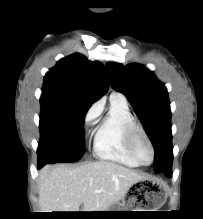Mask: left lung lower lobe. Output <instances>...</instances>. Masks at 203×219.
I'll list each match as a JSON object with an SVG mask.
<instances>
[{
	"instance_id": "obj_1",
	"label": "left lung lower lobe",
	"mask_w": 203,
	"mask_h": 219,
	"mask_svg": "<svg viewBox=\"0 0 203 219\" xmlns=\"http://www.w3.org/2000/svg\"><path fill=\"white\" fill-rule=\"evenodd\" d=\"M171 166H164L162 168H160L159 172H163L164 174H166L168 177H171Z\"/></svg>"
}]
</instances>
